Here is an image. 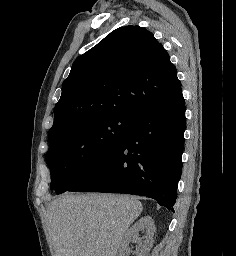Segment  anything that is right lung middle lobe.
<instances>
[{"label":"right lung middle lobe","mask_w":236,"mask_h":256,"mask_svg":"<svg viewBox=\"0 0 236 256\" xmlns=\"http://www.w3.org/2000/svg\"><path fill=\"white\" fill-rule=\"evenodd\" d=\"M134 122L128 117H105L49 135L46 162L51 172L50 188L57 194L67 191L120 144Z\"/></svg>","instance_id":"right-lung-middle-lobe-1"}]
</instances>
